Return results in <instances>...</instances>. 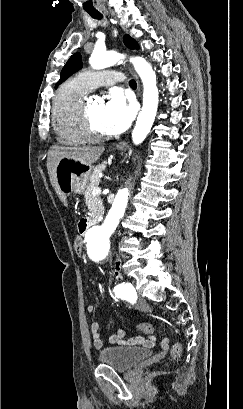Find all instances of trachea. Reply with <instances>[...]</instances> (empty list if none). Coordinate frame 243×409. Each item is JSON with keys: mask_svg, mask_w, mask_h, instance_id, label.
Masks as SVG:
<instances>
[{"mask_svg": "<svg viewBox=\"0 0 243 409\" xmlns=\"http://www.w3.org/2000/svg\"><path fill=\"white\" fill-rule=\"evenodd\" d=\"M89 13V15L92 17V18H94V19H99V20H101L102 19V14L101 13H99V12H88ZM129 85H130V87H132V88H135L136 87V81L135 80H130L129 81Z\"/></svg>", "mask_w": 243, "mask_h": 409, "instance_id": "1", "label": "trachea"}]
</instances>
